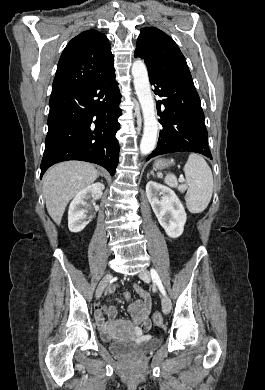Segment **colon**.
Wrapping results in <instances>:
<instances>
[{"label":"colon","instance_id":"colon-1","mask_svg":"<svg viewBox=\"0 0 265 390\" xmlns=\"http://www.w3.org/2000/svg\"><path fill=\"white\" fill-rule=\"evenodd\" d=\"M123 298H124L125 300H130L129 294H126V293L123 294ZM153 321H154V324H155L157 327H160V326L162 325L163 320H162L161 315H160L158 312H155V313L153 314Z\"/></svg>","mask_w":265,"mask_h":390}]
</instances>
